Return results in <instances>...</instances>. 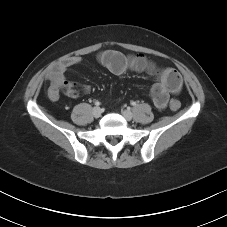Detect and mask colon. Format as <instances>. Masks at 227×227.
Wrapping results in <instances>:
<instances>
[{
    "instance_id": "colon-1",
    "label": "colon",
    "mask_w": 227,
    "mask_h": 227,
    "mask_svg": "<svg viewBox=\"0 0 227 227\" xmlns=\"http://www.w3.org/2000/svg\"><path fill=\"white\" fill-rule=\"evenodd\" d=\"M159 77H160V79H162L168 85H171V86H176V85L180 84V82H181L179 73L175 69H172V68H164L160 72ZM169 107L173 111H178L181 107V104L178 100L172 99L169 102Z\"/></svg>"
}]
</instances>
